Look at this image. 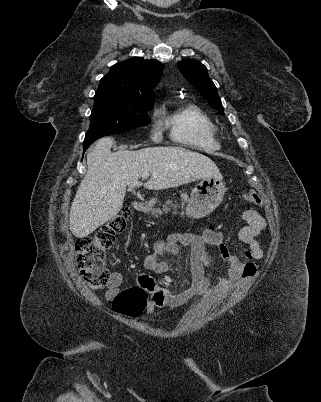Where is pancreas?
I'll use <instances>...</instances> for the list:
<instances>
[{"label": "pancreas", "mask_w": 321, "mask_h": 402, "mask_svg": "<svg viewBox=\"0 0 321 402\" xmlns=\"http://www.w3.org/2000/svg\"><path fill=\"white\" fill-rule=\"evenodd\" d=\"M187 200L185 199L183 202H182V208H183V206H184V203L186 202ZM168 204H171V206H173L174 207V209L177 207V205H173L172 204V202L171 201H169L168 200V202H167ZM169 211V208L167 207V206H163V209L161 210L160 208H154V209H150L149 210V212L152 214V215H154V216H158V215H162L164 212L165 213H167ZM176 213V211H174V214ZM181 215L183 216L184 215V212H182L181 213Z\"/></svg>", "instance_id": "pancreas-1"}]
</instances>
